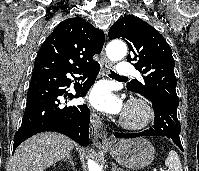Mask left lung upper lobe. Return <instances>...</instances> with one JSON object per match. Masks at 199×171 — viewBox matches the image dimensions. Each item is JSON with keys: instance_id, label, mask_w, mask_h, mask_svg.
Segmentation results:
<instances>
[{"instance_id": "obj_1", "label": "left lung upper lobe", "mask_w": 199, "mask_h": 171, "mask_svg": "<svg viewBox=\"0 0 199 171\" xmlns=\"http://www.w3.org/2000/svg\"><path fill=\"white\" fill-rule=\"evenodd\" d=\"M110 39H123L131 51L127 61L140 70L144 83L131 81L127 88L149 100L161 99L179 104L176 94L177 80L174 74L175 62L172 51L164 37L147 22L133 15L119 19L110 28Z\"/></svg>"}]
</instances>
